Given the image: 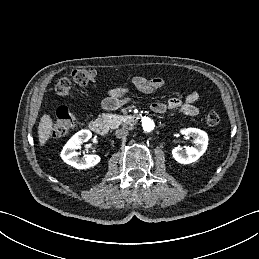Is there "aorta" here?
<instances>
[{
	"label": "aorta",
	"mask_w": 259,
	"mask_h": 259,
	"mask_svg": "<svg viewBox=\"0 0 259 259\" xmlns=\"http://www.w3.org/2000/svg\"><path fill=\"white\" fill-rule=\"evenodd\" d=\"M141 127L145 132L149 133L154 129L155 123L152 118L145 116L141 120Z\"/></svg>",
	"instance_id": "1"
}]
</instances>
